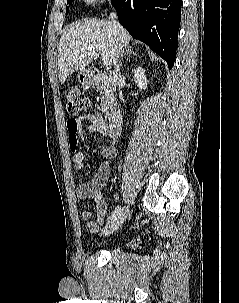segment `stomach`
I'll list each match as a JSON object with an SVG mask.
<instances>
[{"mask_svg": "<svg viewBox=\"0 0 239 303\" xmlns=\"http://www.w3.org/2000/svg\"><path fill=\"white\" fill-rule=\"evenodd\" d=\"M78 81L83 85V86H90L93 84V79L89 73L88 70H81L77 76Z\"/></svg>", "mask_w": 239, "mask_h": 303, "instance_id": "1", "label": "stomach"}]
</instances>
